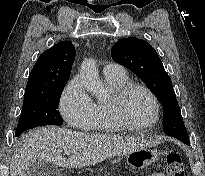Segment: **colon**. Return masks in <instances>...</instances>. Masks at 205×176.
Returning <instances> with one entry per match:
<instances>
[{"instance_id": "1", "label": "colon", "mask_w": 205, "mask_h": 176, "mask_svg": "<svg viewBox=\"0 0 205 176\" xmlns=\"http://www.w3.org/2000/svg\"><path fill=\"white\" fill-rule=\"evenodd\" d=\"M166 165L168 176H185L184 165L181 156L178 153L168 154L166 157Z\"/></svg>"}]
</instances>
